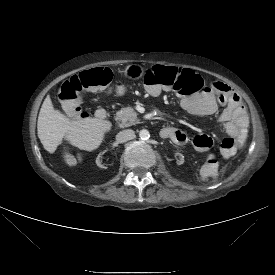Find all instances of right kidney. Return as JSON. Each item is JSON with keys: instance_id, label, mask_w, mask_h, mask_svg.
Instances as JSON below:
<instances>
[{"instance_id": "right-kidney-1", "label": "right kidney", "mask_w": 275, "mask_h": 275, "mask_svg": "<svg viewBox=\"0 0 275 275\" xmlns=\"http://www.w3.org/2000/svg\"><path fill=\"white\" fill-rule=\"evenodd\" d=\"M96 164L100 168H110L114 161V156L109 152H103L96 156Z\"/></svg>"}]
</instances>
